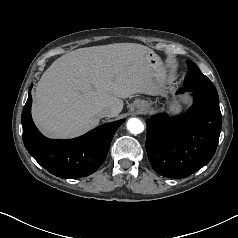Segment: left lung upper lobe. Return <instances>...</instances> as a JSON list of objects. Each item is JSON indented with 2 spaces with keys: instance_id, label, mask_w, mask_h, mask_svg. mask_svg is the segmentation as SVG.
<instances>
[{
  "instance_id": "obj_1",
  "label": "left lung upper lobe",
  "mask_w": 238,
  "mask_h": 238,
  "mask_svg": "<svg viewBox=\"0 0 238 238\" xmlns=\"http://www.w3.org/2000/svg\"><path fill=\"white\" fill-rule=\"evenodd\" d=\"M188 74L184 80V85L189 89H198L207 93L217 95L216 88L192 61H187Z\"/></svg>"
}]
</instances>
